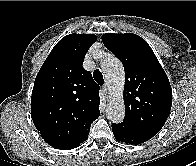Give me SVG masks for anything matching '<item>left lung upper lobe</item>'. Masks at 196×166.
<instances>
[{
  "label": "left lung upper lobe",
  "instance_id": "5c2ea615",
  "mask_svg": "<svg viewBox=\"0 0 196 166\" xmlns=\"http://www.w3.org/2000/svg\"><path fill=\"white\" fill-rule=\"evenodd\" d=\"M103 44L121 60L125 70V117L122 124L156 135L171 105L169 79L148 43L136 34H104Z\"/></svg>",
  "mask_w": 196,
  "mask_h": 166
}]
</instances>
